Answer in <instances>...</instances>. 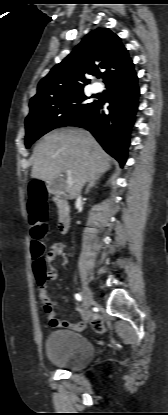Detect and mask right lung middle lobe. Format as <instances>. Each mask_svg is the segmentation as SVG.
Returning a JSON list of instances; mask_svg holds the SVG:
<instances>
[{
  "mask_svg": "<svg viewBox=\"0 0 168 415\" xmlns=\"http://www.w3.org/2000/svg\"><path fill=\"white\" fill-rule=\"evenodd\" d=\"M88 99L89 97H86L83 91H79L30 109L25 120L26 148L47 132L68 126L85 115L96 102H89Z\"/></svg>",
  "mask_w": 168,
  "mask_h": 415,
  "instance_id": "obj_1",
  "label": "right lung middle lobe"
}]
</instances>
